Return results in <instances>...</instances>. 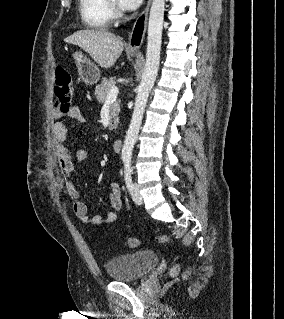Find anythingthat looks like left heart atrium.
<instances>
[{"mask_svg":"<svg viewBox=\"0 0 284 319\" xmlns=\"http://www.w3.org/2000/svg\"><path fill=\"white\" fill-rule=\"evenodd\" d=\"M121 9L126 11H132L137 9L143 0H117Z\"/></svg>","mask_w":284,"mask_h":319,"instance_id":"1","label":"left heart atrium"}]
</instances>
